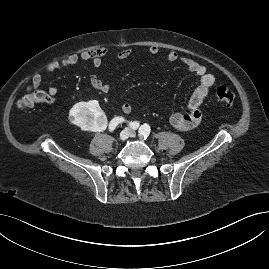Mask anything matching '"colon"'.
I'll use <instances>...</instances> for the list:
<instances>
[{
  "label": "colon",
  "instance_id": "5ec220e1",
  "mask_svg": "<svg viewBox=\"0 0 269 269\" xmlns=\"http://www.w3.org/2000/svg\"><path fill=\"white\" fill-rule=\"evenodd\" d=\"M214 97L217 102L227 107H232L236 100V92L229 86H219L214 92ZM44 100V92L35 88H29L26 94H24L18 101V106L21 109H26L37 103L43 102Z\"/></svg>",
  "mask_w": 269,
  "mask_h": 269
}]
</instances>
